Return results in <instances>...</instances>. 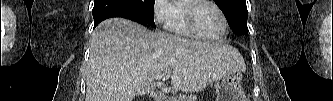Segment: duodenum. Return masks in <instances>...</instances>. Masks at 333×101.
Returning <instances> with one entry per match:
<instances>
[{"instance_id": "obj_1", "label": "duodenum", "mask_w": 333, "mask_h": 101, "mask_svg": "<svg viewBox=\"0 0 333 101\" xmlns=\"http://www.w3.org/2000/svg\"><path fill=\"white\" fill-rule=\"evenodd\" d=\"M151 97L156 101H164V95L161 92L154 91L151 93Z\"/></svg>"}]
</instances>
